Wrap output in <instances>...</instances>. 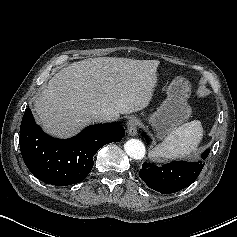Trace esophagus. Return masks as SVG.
Here are the masks:
<instances>
[{
    "mask_svg": "<svg viewBox=\"0 0 237 237\" xmlns=\"http://www.w3.org/2000/svg\"><path fill=\"white\" fill-rule=\"evenodd\" d=\"M139 126V121L137 118H131L127 123L128 132L131 136H135L137 134V128Z\"/></svg>",
    "mask_w": 237,
    "mask_h": 237,
    "instance_id": "34e87169",
    "label": "esophagus"
}]
</instances>
